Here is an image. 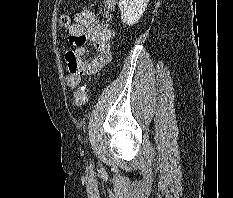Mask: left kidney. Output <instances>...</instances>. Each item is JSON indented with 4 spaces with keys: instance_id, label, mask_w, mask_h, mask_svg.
<instances>
[{
    "instance_id": "5707ae66",
    "label": "left kidney",
    "mask_w": 233,
    "mask_h": 198,
    "mask_svg": "<svg viewBox=\"0 0 233 198\" xmlns=\"http://www.w3.org/2000/svg\"><path fill=\"white\" fill-rule=\"evenodd\" d=\"M149 0H120L121 20L127 25L136 24L143 16Z\"/></svg>"
}]
</instances>
